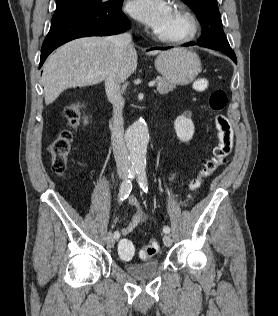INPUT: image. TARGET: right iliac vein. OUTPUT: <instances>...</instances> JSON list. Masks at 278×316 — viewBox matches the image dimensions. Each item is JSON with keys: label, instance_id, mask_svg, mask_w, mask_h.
<instances>
[{"label": "right iliac vein", "instance_id": "1", "mask_svg": "<svg viewBox=\"0 0 278 316\" xmlns=\"http://www.w3.org/2000/svg\"><path fill=\"white\" fill-rule=\"evenodd\" d=\"M125 176H126V175H125L124 173H121V174H120V178H121V179H124ZM106 243H107V246L110 247V248H112V247L114 246V244H115V239H114V237L112 236L111 233H108V235H107V237H106Z\"/></svg>", "mask_w": 278, "mask_h": 316}]
</instances>
